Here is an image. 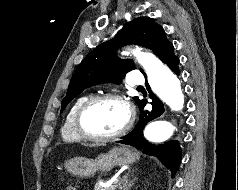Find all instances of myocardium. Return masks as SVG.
Segmentation results:
<instances>
[{"instance_id": "obj_1", "label": "myocardium", "mask_w": 238, "mask_h": 190, "mask_svg": "<svg viewBox=\"0 0 238 190\" xmlns=\"http://www.w3.org/2000/svg\"><path fill=\"white\" fill-rule=\"evenodd\" d=\"M117 100L124 105L127 111V121L124 126L117 132L110 135H99L89 132L83 124V119L87 111L94 106L95 104L104 101V100ZM134 109L129 102V100L122 94L116 92H108L88 98L78 109L75 116V128L78 134L86 140L95 141V142H107L116 140L124 136L132 127L134 123Z\"/></svg>"}]
</instances>
